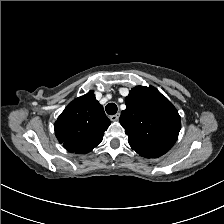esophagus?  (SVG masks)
<instances>
[{"label": "esophagus", "mask_w": 224, "mask_h": 224, "mask_svg": "<svg viewBox=\"0 0 224 224\" xmlns=\"http://www.w3.org/2000/svg\"><path fill=\"white\" fill-rule=\"evenodd\" d=\"M119 117H120V113H116L114 115H111L109 118L111 121L115 122L119 120Z\"/></svg>", "instance_id": "obj_1"}]
</instances>
